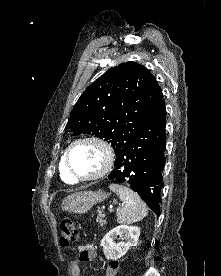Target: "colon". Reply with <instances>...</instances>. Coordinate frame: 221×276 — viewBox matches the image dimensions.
<instances>
[{
    "instance_id": "1",
    "label": "colon",
    "mask_w": 221,
    "mask_h": 276,
    "mask_svg": "<svg viewBox=\"0 0 221 276\" xmlns=\"http://www.w3.org/2000/svg\"><path fill=\"white\" fill-rule=\"evenodd\" d=\"M61 246H70L76 242L78 231L71 220H63L59 225ZM119 269L118 261H110L105 276H115Z\"/></svg>"
}]
</instances>
